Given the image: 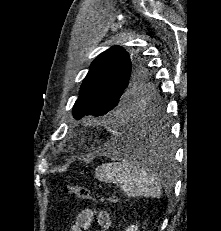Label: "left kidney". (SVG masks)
Returning <instances> with one entry per match:
<instances>
[{
	"mask_svg": "<svg viewBox=\"0 0 221 231\" xmlns=\"http://www.w3.org/2000/svg\"><path fill=\"white\" fill-rule=\"evenodd\" d=\"M126 231H138V225H131L126 229Z\"/></svg>",
	"mask_w": 221,
	"mask_h": 231,
	"instance_id": "5707ae66",
	"label": "left kidney"
}]
</instances>
